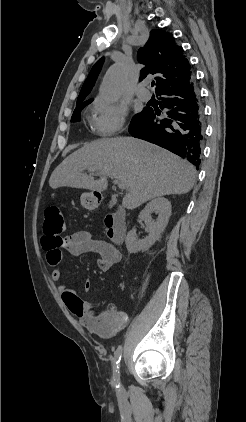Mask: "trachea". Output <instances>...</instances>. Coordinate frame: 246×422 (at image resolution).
I'll list each match as a JSON object with an SVG mask.
<instances>
[{
  "mask_svg": "<svg viewBox=\"0 0 246 422\" xmlns=\"http://www.w3.org/2000/svg\"><path fill=\"white\" fill-rule=\"evenodd\" d=\"M154 85H155V82H154V81H152L151 86L153 87Z\"/></svg>",
  "mask_w": 246,
  "mask_h": 422,
  "instance_id": "trachea-1",
  "label": "trachea"
}]
</instances>
